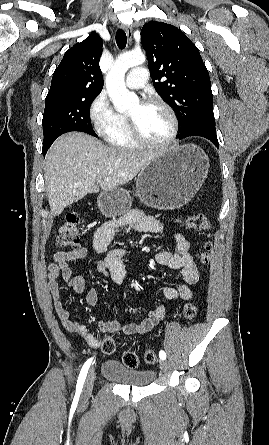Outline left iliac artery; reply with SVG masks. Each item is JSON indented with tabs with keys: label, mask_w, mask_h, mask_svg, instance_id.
Masks as SVG:
<instances>
[{
	"label": "left iliac artery",
	"mask_w": 269,
	"mask_h": 445,
	"mask_svg": "<svg viewBox=\"0 0 269 445\" xmlns=\"http://www.w3.org/2000/svg\"><path fill=\"white\" fill-rule=\"evenodd\" d=\"M159 357H160L161 359H165V358H166V353H165V351L161 350V351L159 352Z\"/></svg>",
	"instance_id": "obj_1"
}]
</instances>
